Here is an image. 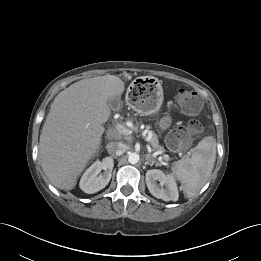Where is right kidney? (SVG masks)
<instances>
[{"label": "right kidney", "instance_id": "ca27d5eb", "mask_svg": "<svg viewBox=\"0 0 261 261\" xmlns=\"http://www.w3.org/2000/svg\"><path fill=\"white\" fill-rule=\"evenodd\" d=\"M113 166L114 162L110 157L93 163L81 177V190L87 194H93L105 188L111 179ZM101 170L104 172L100 173Z\"/></svg>", "mask_w": 261, "mask_h": 261}]
</instances>
